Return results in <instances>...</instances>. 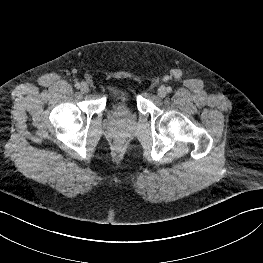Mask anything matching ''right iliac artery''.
<instances>
[{"label": "right iliac artery", "mask_w": 263, "mask_h": 263, "mask_svg": "<svg viewBox=\"0 0 263 263\" xmlns=\"http://www.w3.org/2000/svg\"><path fill=\"white\" fill-rule=\"evenodd\" d=\"M75 87H76L77 89H79V88L81 87L80 83H76V84H75Z\"/></svg>", "instance_id": "82829eb1"}]
</instances>
